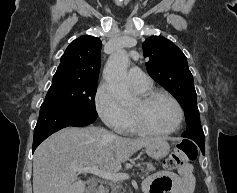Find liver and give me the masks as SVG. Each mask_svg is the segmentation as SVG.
<instances>
[{"instance_id": "obj_1", "label": "liver", "mask_w": 237, "mask_h": 193, "mask_svg": "<svg viewBox=\"0 0 237 193\" xmlns=\"http://www.w3.org/2000/svg\"><path fill=\"white\" fill-rule=\"evenodd\" d=\"M154 140L125 138L94 126L62 129L34 153L33 193H84L86 182L74 168L97 166L116 173L130 156Z\"/></svg>"}]
</instances>
